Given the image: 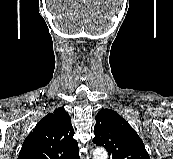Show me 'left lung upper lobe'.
I'll return each instance as SVG.
<instances>
[{"label": "left lung upper lobe", "mask_w": 173, "mask_h": 159, "mask_svg": "<svg viewBox=\"0 0 173 159\" xmlns=\"http://www.w3.org/2000/svg\"><path fill=\"white\" fill-rule=\"evenodd\" d=\"M95 120L93 143L105 147L109 159H150L136 131L117 112L102 109Z\"/></svg>", "instance_id": "obj_1"}]
</instances>
